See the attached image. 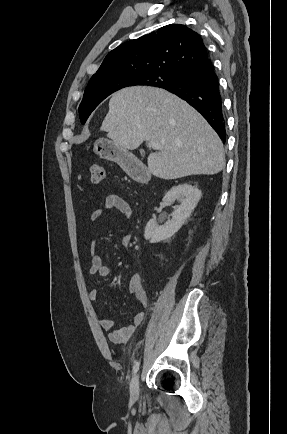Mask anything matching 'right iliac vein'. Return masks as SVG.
Masks as SVG:
<instances>
[{"label":"right iliac vein","mask_w":287,"mask_h":434,"mask_svg":"<svg viewBox=\"0 0 287 434\" xmlns=\"http://www.w3.org/2000/svg\"><path fill=\"white\" fill-rule=\"evenodd\" d=\"M130 393L133 398H138L139 396V375H135L131 381Z\"/></svg>","instance_id":"1"}]
</instances>
